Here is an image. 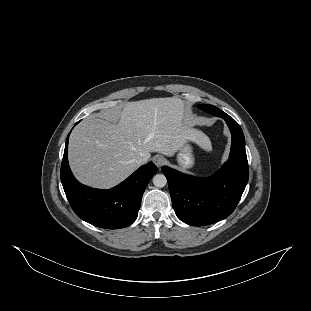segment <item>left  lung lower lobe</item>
Returning <instances> with one entry per match:
<instances>
[{
  "mask_svg": "<svg viewBox=\"0 0 311 311\" xmlns=\"http://www.w3.org/2000/svg\"><path fill=\"white\" fill-rule=\"evenodd\" d=\"M220 117L231 131L232 146L228 161L216 174L197 178L167 166L162 167L177 217L192 226L209 225L229 216L248 182L243 131L228 114L223 112Z\"/></svg>",
  "mask_w": 311,
  "mask_h": 311,
  "instance_id": "left-lung-lower-lobe-1",
  "label": "left lung lower lobe"
}]
</instances>
